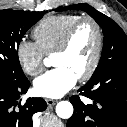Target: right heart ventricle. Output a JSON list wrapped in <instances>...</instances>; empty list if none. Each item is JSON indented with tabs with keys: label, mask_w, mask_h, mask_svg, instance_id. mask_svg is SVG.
<instances>
[{
	"label": "right heart ventricle",
	"mask_w": 127,
	"mask_h": 127,
	"mask_svg": "<svg viewBox=\"0 0 127 127\" xmlns=\"http://www.w3.org/2000/svg\"><path fill=\"white\" fill-rule=\"evenodd\" d=\"M79 15L60 14L43 18L34 28L33 37L44 55L52 54Z\"/></svg>",
	"instance_id": "obj_1"
}]
</instances>
